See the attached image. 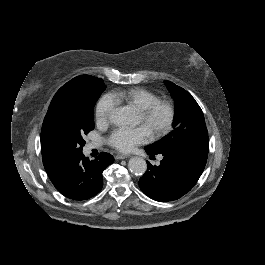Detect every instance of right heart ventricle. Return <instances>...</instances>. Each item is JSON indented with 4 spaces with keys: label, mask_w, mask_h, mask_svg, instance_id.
I'll return each instance as SVG.
<instances>
[{
    "label": "right heart ventricle",
    "mask_w": 265,
    "mask_h": 265,
    "mask_svg": "<svg viewBox=\"0 0 265 265\" xmlns=\"http://www.w3.org/2000/svg\"><path fill=\"white\" fill-rule=\"evenodd\" d=\"M110 96L116 105H123L124 107H133L138 112L144 110L152 103L158 100V97L151 91L140 88H119L113 90Z\"/></svg>",
    "instance_id": "obj_1"
}]
</instances>
